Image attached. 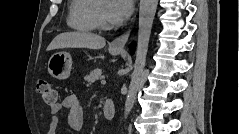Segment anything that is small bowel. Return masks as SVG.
I'll use <instances>...</instances> for the list:
<instances>
[{"instance_id": "obj_1", "label": "small bowel", "mask_w": 239, "mask_h": 134, "mask_svg": "<svg viewBox=\"0 0 239 134\" xmlns=\"http://www.w3.org/2000/svg\"><path fill=\"white\" fill-rule=\"evenodd\" d=\"M68 110V123L75 131H80L84 125V109L75 94L66 96L61 103H56L50 108L51 120L49 122L48 134H56L59 125V113Z\"/></svg>"}]
</instances>
